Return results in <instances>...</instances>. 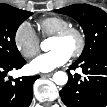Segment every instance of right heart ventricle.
Instances as JSON below:
<instances>
[{
  "instance_id": "right-heart-ventricle-1",
  "label": "right heart ventricle",
  "mask_w": 107,
  "mask_h": 107,
  "mask_svg": "<svg viewBox=\"0 0 107 107\" xmlns=\"http://www.w3.org/2000/svg\"><path fill=\"white\" fill-rule=\"evenodd\" d=\"M68 26H71V21L62 16H50L39 21V28L44 37L53 36Z\"/></svg>"
}]
</instances>
